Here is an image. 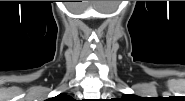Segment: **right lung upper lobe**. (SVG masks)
Returning a JSON list of instances; mask_svg holds the SVG:
<instances>
[{
    "mask_svg": "<svg viewBox=\"0 0 185 101\" xmlns=\"http://www.w3.org/2000/svg\"><path fill=\"white\" fill-rule=\"evenodd\" d=\"M53 100L55 101H70L71 97L66 94H59L58 96L54 97Z\"/></svg>",
    "mask_w": 185,
    "mask_h": 101,
    "instance_id": "cb5924a9",
    "label": "right lung upper lobe"
}]
</instances>
